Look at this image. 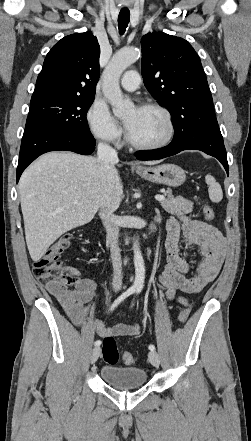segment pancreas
<instances>
[{
	"label": "pancreas",
	"instance_id": "1",
	"mask_svg": "<svg viewBox=\"0 0 251 441\" xmlns=\"http://www.w3.org/2000/svg\"><path fill=\"white\" fill-rule=\"evenodd\" d=\"M165 195L167 198L161 202V206L166 212L179 216L192 212L193 202L183 197L174 198L170 189L165 192Z\"/></svg>",
	"mask_w": 251,
	"mask_h": 441
}]
</instances>
